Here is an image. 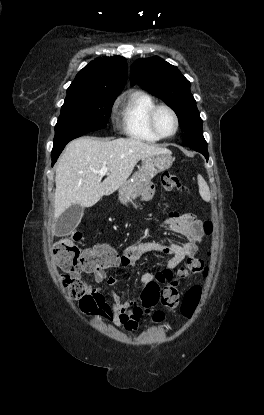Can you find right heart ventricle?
<instances>
[{
  "label": "right heart ventricle",
  "instance_id": "1",
  "mask_svg": "<svg viewBox=\"0 0 264 415\" xmlns=\"http://www.w3.org/2000/svg\"><path fill=\"white\" fill-rule=\"evenodd\" d=\"M155 105L154 98L141 91L130 93L120 100V125L128 137L146 143L160 140L148 125V114Z\"/></svg>",
  "mask_w": 264,
  "mask_h": 415
}]
</instances>
